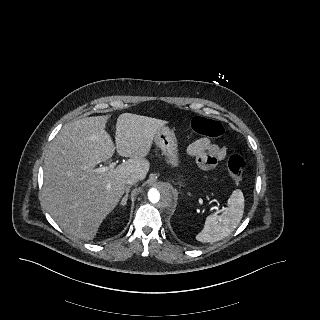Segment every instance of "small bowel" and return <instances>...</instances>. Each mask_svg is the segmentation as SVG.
I'll return each instance as SVG.
<instances>
[{"instance_id":"obj_1","label":"small bowel","mask_w":320,"mask_h":320,"mask_svg":"<svg viewBox=\"0 0 320 320\" xmlns=\"http://www.w3.org/2000/svg\"><path fill=\"white\" fill-rule=\"evenodd\" d=\"M187 154L190 157H195L202 169L211 170L217 166L220 160L225 158L227 150L209 138H200L187 147Z\"/></svg>"}]
</instances>
